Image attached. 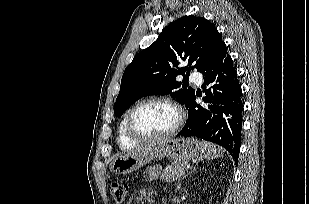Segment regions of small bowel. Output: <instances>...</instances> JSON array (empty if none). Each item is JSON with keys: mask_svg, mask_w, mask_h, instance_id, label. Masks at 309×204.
Segmentation results:
<instances>
[{"mask_svg": "<svg viewBox=\"0 0 309 204\" xmlns=\"http://www.w3.org/2000/svg\"><path fill=\"white\" fill-rule=\"evenodd\" d=\"M156 169L155 168H152V169H149L147 172H146V179H152L156 173Z\"/></svg>", "mask_w": 309, "mask_h": 204, "instance_id": "small-bowel-1", "label": "small bowel"}]
</instances>
